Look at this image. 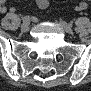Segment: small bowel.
Segmentation results:
<instances>
[{
    "label": "small bowel",
    "instance_id": "1",
    "mask_svg": "<svg viewBox=\"0 0 91 91\" xmlns=\"http://www.w3.org/2000/svg\"><path fill=\"white\" fill-rule=\"evenodd\" d=\"M37 5L40 7V8H46L48 5H49V1L48 0H37L36 1ZM88 8V3L86 1H81L77 4L76 6V10L77 11H84ZM12 12L15 11L14 8H11L10 9ZM7 11V7L2 3L0 5V12L1 13H5Z\"/></svg>",
    "mask_w": 91,
    "mask_h": 91
}]
</instances>
